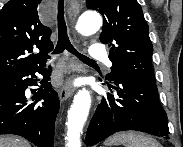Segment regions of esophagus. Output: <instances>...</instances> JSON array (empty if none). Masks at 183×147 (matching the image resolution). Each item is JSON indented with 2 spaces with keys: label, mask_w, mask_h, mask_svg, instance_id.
Masks as SVG:
<instances>
[{
  "label": "esophagus",
  "mask_w": 183,
  "mask_h": 147,
  "mask_svg": "<svg viewBox=\"0 0 183 147\" xmlns=\"http://www.w3.org/2000/svg\"><path fill=\"white\" fill-rule=\"evenodd\" d=\"M65 56L70 57V53L65 51ZM74 93L73 77H68L59 89V99L61 103H64Z\"/></svg>",
  "instance_id": "esophagus-1"
}]
</instances>
